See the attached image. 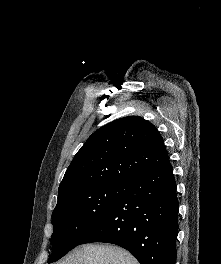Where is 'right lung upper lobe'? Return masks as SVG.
Returning a JSON list of instances; mask_svg holds the SVG:
<instances>
[{"label":"right lung upper lobe","mask_w":221,"mask_h":264,"mask_svg":"<svg viewBox=\"0 0 221 264\" xmlns=\"http://www.w3.org/2000/svg\"><path fill=\"white\" fill-rule=\"evenodd\" d=\"M168 163L154 125L139 116L117 119L95 131L77 152L59 186L58 203L94 185L126 183Z\"/></svg>","instance_id":"right-lung-upper-lobe-1"}]
</instances>
